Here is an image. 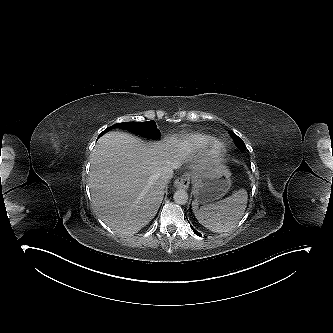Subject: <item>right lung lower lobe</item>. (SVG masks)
<instances>
[{"mask_svg":"<svg viewBox=\"0 0 333 333\" xmlns=\"http://www.w3.org/2000/svg\"><path fill=\"white\" fill-rule=\"evenodd\" d=\"M106 133V131L101 132V134L99 135V137H101L102 135H104Z\"/></svg>","mask_w":333,"mask_h":333,"instance_id":"right-lung-lower-lobe-1","label":"right lung lower lobe"}]
</instances>
